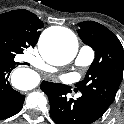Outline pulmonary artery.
<instances>
[{
  "label": "pulmonary artery",
  "mask_w": 124,
  "mask_h": 124,
  "mask_svg": "<svg viewBox=\"0 0 124 124\" xmlns=\"http://www.w3.org/2000/svg\"><path fill=\"white\" fill-rule=\"evenodd\" d=\"M95 58V52L94 50L86 45H83L80 47L78 54L75 59V64L80 67H85L90 65ZM24 60L29 62L31 65L41 68L45 71H54V68L46 65L42 61L38 60L37 58L33 56L26 55L24 56Z\"/></svg>",
  "instance_id": "1"
}]
</instances>
